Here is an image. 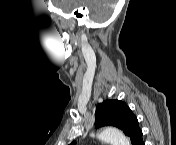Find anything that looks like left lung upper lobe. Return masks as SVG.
<instances>
[{
	"mask_svg": "<svg viewBox=\"0 0 176 145\" xmlns=\"http://www.w3.org/2000/svg\"><path fill=\"white\" fill-rule=\"evenodd\" d=\"M95 126H115L130 137L133 143L141 132L138 120L130 108L119 100H106L96 107ZM75 142L72 143L74 145Z\"/></svg>",
	"mask_w": 176,
	"mask_h": 145,
	"instance_id": "1",
	"label": "left lung upper lobe"
}]
</instances>
